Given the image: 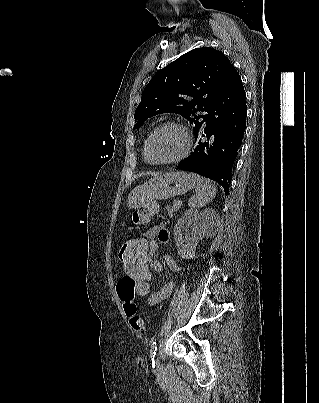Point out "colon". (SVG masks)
<instances>
[{
  "label": "colon",
  "mask_w": 319,
  "mask_h": 403,
  "mask_svg": "<svg viewBox=\"0 0 319 403\" xmlns=\"http://www.w3.org/2000/svg\"><path fill=\"white\" fill-rule=\"evenodd\" d=\"M154 213L156 212L153 204H148L145 210L136 211L132 220L136 224L142 223ZM148 247L146 238H129V242L120 245V269L123 270V276H117L115 280L120 307L125 317H128L130 331L141 336L145 334V327L135 296L151 295V259ZM133 283H135V296L131 289Z\"/></svg>",
  "instance_id": "obj_1"
}]
</instances>
